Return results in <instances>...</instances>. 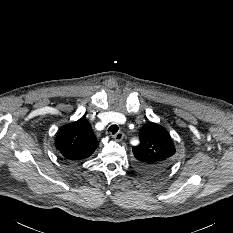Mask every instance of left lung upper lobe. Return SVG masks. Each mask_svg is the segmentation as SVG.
<instances>
[{"label":"left lung upper lobe","mask_w":233,"mask_h":233,"mask_svg":"<svg viewBox=\"0 0 233 233\" xmlns=\"http://www.w3.org/2000/svg\"><path fill=\"white\" fill-rule=\"evenodd\" d=\"M140 144L133 147L138 169L147 176L165 172L173 163L174 143L160 125L148 122L139 132Z\"/></svg>","instance_id":"1"}]
</instances>
